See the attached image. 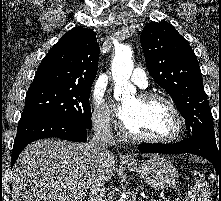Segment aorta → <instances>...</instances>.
Masks as SVG:
<instances>
[{"label": "aorta", "instance_id": "762f6f07", "mask_svg": "<svg viewBox=\"0 0 221 201\" xmlns=\"http://www.w3.org/2000/svg\"><path fill=\"white\" fill-rule=\"evenodd\" d=\"M132 50L127 45H121L115 51L112 62V76L115 82L114 95H125L131 89L129 78L133 71ZM123 201V200H120Z\"/></svg>", "mask_w": 221, "mask_h": 201}]
</instances>
